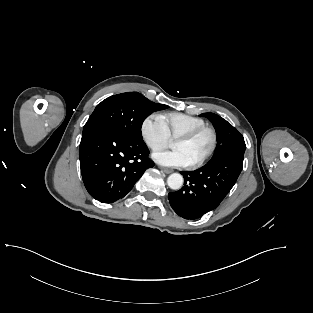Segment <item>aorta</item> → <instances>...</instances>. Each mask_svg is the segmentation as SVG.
<instances>
[{"label": "aorta", "instance_id": "obj_1", "mask_svg": "<svg viewBox=\"0 0 313 313\" xmlns=\"http://www.w3.org/2000/svg\"><path fill=\"white\" fill-rule=\"evenodd\" d=\"M183 176L179 173L171 174L167 179L168 186L173 190H178L183 185Z\"/></svg>", "mask_w": 313, "mask_h": 313}]
</instances>
